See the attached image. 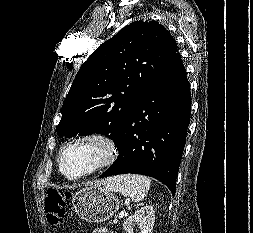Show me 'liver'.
I'll return each mask as SVG.
<instances>
[{"instance_id":"liver-1","label":"liver","mask_w":253,"mask_h":233,"mask_svg":"<svg viewBox=\"0 0 253 233\" xmlns=\"http://www.w3.org/2000/svg\"><path fill=\"white\" fill-rule=\"evenodd\" d=\"M103 183L106 184L107 182H106V183H105V182H98V183H96V184L102 185Z\"/></svg>"}]
</instances>
